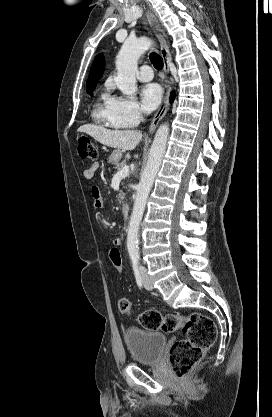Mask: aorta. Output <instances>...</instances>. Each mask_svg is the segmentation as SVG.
I'll list each match as a JSON object with an SVG mask.
<instances>
[{
  "label": "aorta",
  "instance_id": "762f6f07",
  "mask_svg": "<svg viewBox=\"0 0 272 417\" xmlns=\"http://www.w3.org/2000/svg\"><path fill=\"white\" fill-rule=\"evenodd\" d=\"M151 46L152 41L146 37L127 39L123 43L116 57L117 76L115 79L117 87L123 94L133 95L136 92L137 86L135 75L137 72V62L139 57ZM168 135L169 125L167 123L162 124L155 134L146 167L137 186L136 199L127 235V250L130 259L133 262L139 260V226L143 217L148 195L162 163Z\"/></svg>",
  "mask_w": 272,
  "mask_h": 417
}]
</instances>
